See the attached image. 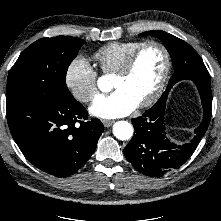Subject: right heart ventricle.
<instances>
[{
  "label": "right heart ventricle",
  "instance_id": "right-heart-ventricle-1",
  "mask_svg": "<svg viewBox=\"0 0 221 221\" xmlns=\"http://www.w3.org/2000/svg\"><path fill=\"white\" fill-rule=\"evenodd\" d=\"M143 43V41L111 42L98 49L94 57L104 72L113 74L121 67L129 54Z\"/></svg>",
  "mask_w": 221,
  "mask_h": 221
}]
</instances>
